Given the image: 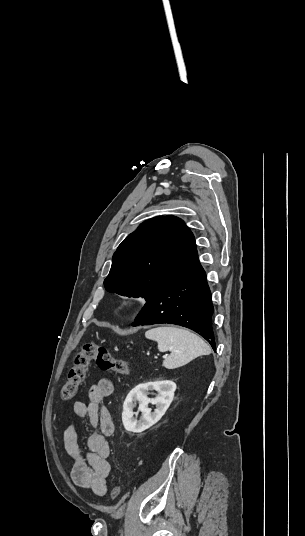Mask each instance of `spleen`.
<instances>
[{"mask_svg": "<svg viewBox=\"0 0 305 536\" xmlns=\"http://www.w3.org/2000/svg\"><path fill=\"white\" fill-rule=\"evenodd\" d=\"M145 338L157 342L159 352H168V350L171 352L163 362L167 370H175V368L189 364L198 356L211 354L210 346L186 328H177V326L153 328L146 332Z\"/></svg>", "mask_w": 305, "mask_h": 536, "instance_id": "spleen-1", "label": "spleen"}]
</instances>
